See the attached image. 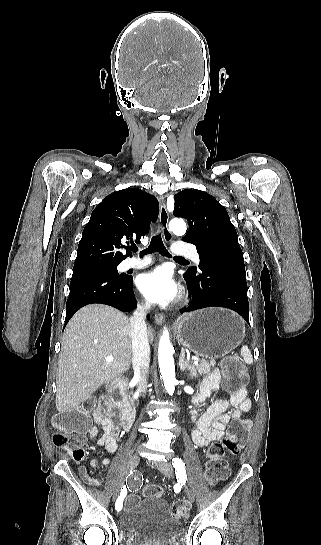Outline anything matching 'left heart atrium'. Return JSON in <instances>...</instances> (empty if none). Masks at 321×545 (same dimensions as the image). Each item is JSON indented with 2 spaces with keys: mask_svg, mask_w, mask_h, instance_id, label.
Wrapping results in <instances>:
<instances>
[{
  "mask_svg": "<svg viewBox=\"0 0 321 545\" xmlns=\"http://www.w3.org/2000/svg\"><path fill=\"white\" fill-rule=\"evenodd\" d=\"M138 289L151 302L167 305L180 294V287L166 268H157L140 276Z\"/></svg>",
  "mask_w": 321,
  "mask_h": 545,
  "instance_id": "1",
  "label": "left heart atrium"
}]
</instances>
